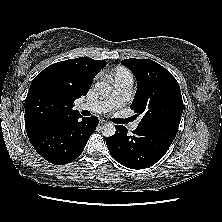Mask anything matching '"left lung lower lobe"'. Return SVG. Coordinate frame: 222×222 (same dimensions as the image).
Segmentation results:
<instances>
[{
	"instance_id": "0a47b994",
	"label": "left lung lower lobe",
	"mask_w": 222,
	"mask_h": 222,
	"mask_svg": "<svg viewBox=\"0 0 222 222\" xmlns=\"http://www.w3.org/2000/svg\"><path fill=\"white\" fill-rule=\"evenodd\" d=\"M178 129L170 126H138L132 134L121 125L106 139L113 158L131 169H145L158 162L167 152Z\"/></svg>"
}]
</instances>
